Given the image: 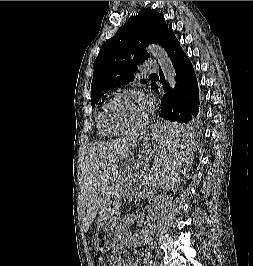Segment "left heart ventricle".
Masks as SVG:
<instances>
[{
  "instance_id": "b2bd125f",
  "label": "left heart ventricle",
  "mask_w": 253,
  "mask_h": 266,
  "mask_svg": "<svg viewBox=\"0 0 253 266\" xmlns=\"http://www.w3.org/2000/svg\"><path fill=\"white\" fill-rule=\"evenodd\" d=\"M149 110L150 105L146 98L134 94L124 95L107 108L105 123L115 130L127 129L141 122Z\"/></svg>"
}]
</instances>
